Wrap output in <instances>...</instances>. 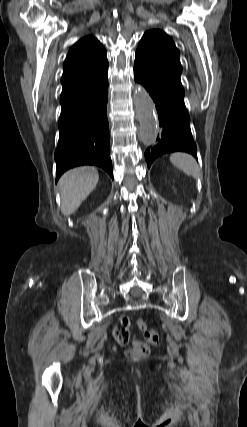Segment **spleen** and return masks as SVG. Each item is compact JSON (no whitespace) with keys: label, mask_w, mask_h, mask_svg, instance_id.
I'll list each match as a JSON object with an SVG mask.
<instances>
[{"label":"spleen","mask_w":247,"mask_h":427,"mask_svg":"<svg viewBox=\"0 0 247 427\" xmlns=\"http://www.w3.org/2000/svg\"><path fill=\"white\" fill-rule=\"evenodd\" d=\"M171 163L185 174L197 179L200 176L199 166L196 160L187 153L176 152L170 155Z\"/></svg>","instance_id":"obj_1"}]
</instances>
